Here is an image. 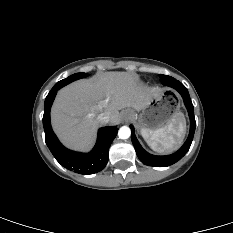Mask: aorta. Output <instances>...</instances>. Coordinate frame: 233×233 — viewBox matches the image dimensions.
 <instances>
[{
	"label": "aorta",
	"instance_id": "762f6f07",
	"mask_svg": "<svg viewBox=\"0 0 233 233\" xmlns=\"http://www.w3.org/2000/svg\"><path fill=\"white\" fill-rule=\"evenodd\" d=\"M131 135V130L127 126H122L118 131V136L121 139H128Z\"/></svg>",
	"mask_w": 233,
	"mask_h": 233
}]
</instances>
